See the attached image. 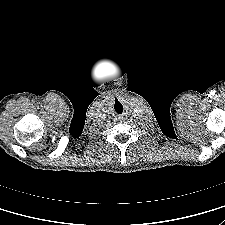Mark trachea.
Segmentation results:
<instances>
[{"instance_id": "obj_1", "label": "trachea", "mask_w": 225, "mask_h": 225, "mask_svg": "<svg viewBox=\"0 0 225 225\" xmlns=\"http://www.w3.org/2000/svg\"><path fill=\"white\" fill-rule=\"evenodd\" d=\"M114 108L118 114H121L123 112V106L119 101H115Z\"/></svg>"}]
</instances>
